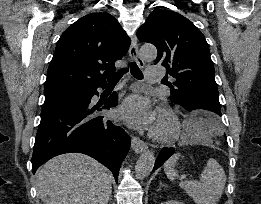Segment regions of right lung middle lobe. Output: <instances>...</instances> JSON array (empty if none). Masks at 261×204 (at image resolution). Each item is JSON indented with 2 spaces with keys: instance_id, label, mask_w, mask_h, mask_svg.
<instances>
[{
  "instance_id": "right-lung-middle-lobe-1",
  "label": "right lung middle lobe",
  "mask_w": 261,
  "mask_h": 204,
  "mask_svg": "<svg viewBox=\"0 0 261 204\" xmlns=\"http://www.w3.org/2000/svg\"><path fill=\"white\" fill-rule=\"evenodd\" d=\"M63 94H65V93L45 95V99H50V98H53V97H56V96H60V95H63Z\"/></svg>"
}]
</instances>
